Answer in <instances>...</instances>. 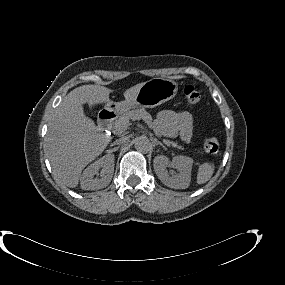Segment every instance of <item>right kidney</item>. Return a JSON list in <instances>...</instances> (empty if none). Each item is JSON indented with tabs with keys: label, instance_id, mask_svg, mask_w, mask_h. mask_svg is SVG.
<instances>
[{
	"label": "right kidney",
	"instance_id": "1",
	"mask_svg": "<svg viewBox=\"0 0 285 285\" xmlns=\"http://www.w3.org/2000/svg\"><path fill=\"white\" fill-rule=\"evenodd\" d=\"M114 160L113 154H107L90 164L80 178L81 188L84 190H98L109 185L114 173ZM95 175L96 177H94Z\"/></svg>",
	"mask_w": 285,
	"mask_h": 285
}]
</instances>
